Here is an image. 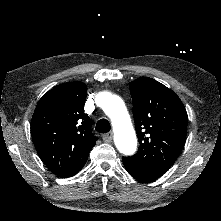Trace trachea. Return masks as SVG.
<instances>
[{"label":"trachea","instance_id":"1","mask_svg":"<svg viewBox=\"0 0 221 221\" xmlns=\"http://www.w3.org/2000/svg\"><path fill=\"white\" fill-rule=\"evenodd\" d=\"M110 129V123L107 119H100L95 126V130L102 134L109 132Z\"/></svg>","mask_w":221,"mask_h":221}]
</instances>
